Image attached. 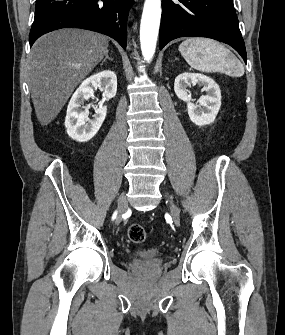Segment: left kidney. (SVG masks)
Instances as JSON below:
<instances>
[{
	"instance_id": "5707ae66",
	"label": "left kidney",
	"mask_w": 285,
	"mask_h": 335,
	"mask_svg": "<svg viewBox=\"0 0 285 335\" xmlns=\"http://www.w3.org/2000/svg\"><path fill=\"white\" fill-rule=\"evenodd\" d=\"M200 84L204 86L202 90L206 92L207 96H201L198 104H192L191 96L187 90L188 86H195ZM174 90L177 98L187 102L188 114L191 122L196 126H208L214 122L221 106V92L219 86L212 78L203 76V74H179L174 82Z\"/></svg>"
}]
</instances>
